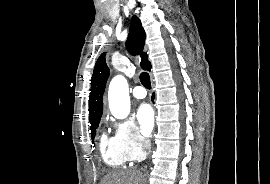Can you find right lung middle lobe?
<instances>
[{"label":"right lung middle lobe","mask_w":270,"mask_h":184,"mask_svg":"<svg viewBox=\"0 0 270 184\" xmlns=\"http://www.w3.org/2000/svg\"><path fill=\"white\" fill-rule=\"evenodd\" d=\"M100 121L94 122L93 124H91V135H92V139L95 137L96 134V129L98 128Z\"/></svg>","instance_id":"dd1d6c3e"}]
</instances>
